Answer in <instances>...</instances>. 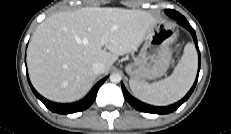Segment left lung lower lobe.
Instances as JSON below:
<instances>
[{
	"instance_id": "0a47b994",
	"label": "left lung lower lobe",
	"mask_w": 231,
	"mask_h": 134,
	"mask_svg": "<svg viewBox=\"0 0 231 134\" xmlns=\"http://www.w3.org/2000/svg\"><path fill=\"white\" fill-rule=\"evenodd\" d=\"M170 17L178 19L179 20V24L183 25L185 28H187L191 32V34H192V36L194 38V41H195L196 48L199 51L195 31L190 26V24L187 22L186 18L184 16H182L181 14H179L178 12H176V11H175V14H173ZM199 70H200V53H199V69H198V74H199ZM198 74H197V78H196V80H195L192 88L187 93V95L182 100H180L179 102H177V103H175L173 105L167 106V107H154V106L147 105V104H144V103L138 101L137 99L133 98L128 93V91L126 90V88L124 87L123 84H122V90H123V94H124L125 99L135 109H137V110H139L141 112H149V113H155V114H166V113H170V112L175 111L181 104H183L189 98V96L192 94V92H193V90H194V88L196 86V83H197V80H198Z\"/></svg>"
}]
</instances>
